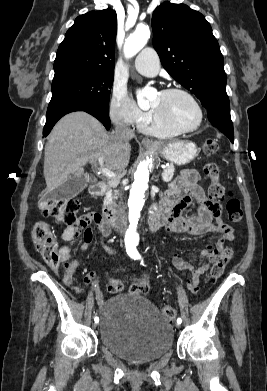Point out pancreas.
Here are the masks:
<instances>
[{"label":"pancreas","mask_w":267,"mask_h":391,"mask_svg":"<svg viewBox=\"0 0 267 391\" xmlns=\"http://www.w3.org/2000/svg\"><path fill=\"white\" fill-rule=\"evenodd\" d=\"M174 170H175V168L172 164L167 166L164 169L162 177L165 182H169L172 180V178L174 176ZM117 185H118V183L115 181L108 182V189L105 193V199H104L105 206L112 207L114 205V200L116 199L117 194H118V191L115 190Z\"/></svg>","instance_id":"pancreas-1"}]
</instances>
